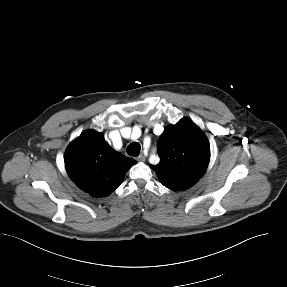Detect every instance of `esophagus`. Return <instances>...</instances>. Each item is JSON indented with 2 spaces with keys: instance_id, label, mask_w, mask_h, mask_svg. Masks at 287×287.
Wrapping results in <instances>:
<instances>
[{
  "instance_id": "1",
  "label": "esophagus",
  "mask_w": 287,
  "mask_h": 287,
  "mask_svg": "<svg viewBox=\"0 0 287 287\" xmlns=\"http://www.w3.org/2000/svg\"><path fill=\"white\" fill-rule=\"evenodd\" d=\"M137 161L144 162V161H145V156H144L143 154H140V155L137 157Z\"/></svg>"
}]
</instances>
